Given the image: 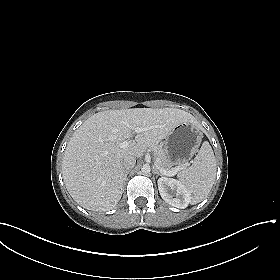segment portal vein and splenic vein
I'll list each match as a JSON object with an SVG mask.
<instances>
[{
  "instance_id": "obj_1",
  "label": "portal vein and splenic vein",
  "mask_w": 280,
  "mask_h": 280,
  "mask_svg": "<svg viewBox=\"0 0 280 280\" xmlns=\"http://www.w3.org/2000/svg\"><path fill=\"white\" fill-rule=\"evenodd\" d=\"M145 129L144 128H140V127H136L135 129H134V131L136 132V133H140V132H142V131H144ZM130 143H131V141H123V142H121L120 144H119V147L120 148H127L129 145H130ZM158 169H160L161 170V172L164 174V175H167V176H174V175H176L177 174V172L178 171H180V170H182V169H185V166H177V167H175L173 170H171V171H166V170H163V169H161V168H158Z\"/></svg>"
}]
</instances>
